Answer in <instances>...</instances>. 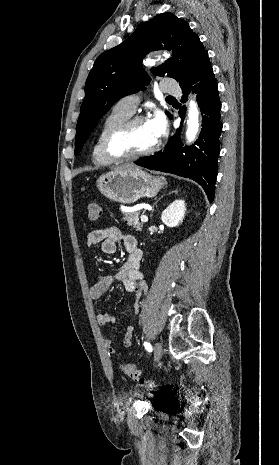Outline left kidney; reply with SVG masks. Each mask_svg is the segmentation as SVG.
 Here are the masks:
<instances>
[{"label": "left kidney", "instance_id": "obj_1", "mask_svg": "<svg viewBox=\"0 0 279 465\" xmlns=\"http://www.w3.org/2000/svg\"><path fill=\"white\" fill-rule=\"evenodd\" d=\"M186 204L184 200H175L162 213L161 220L168 227H177L185 217Z\"/></svg>", "mask_w": 279, "mask_h": 465}]
</instances>
